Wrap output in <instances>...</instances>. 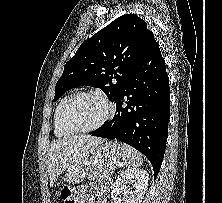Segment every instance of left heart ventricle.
Returning a JSON list of instances; mask_svg holds the SVG:
<instances>
[{
  "label": "left heart ventricle",
  "mask_w": 222,
  "mask_h": 203,
  "mask_svg": "<svg viewBox=\"0 0 222 203\" xmlns=\"http://www.w3.org/2000/svg\"><path fill=\"white\" fill-rule=\"evenodd\" d=\"M107 112L98 98L84 96L76 99L68 110V121L76 127H89L99 122Z\"/></svg>",
  "instance_id": "b2bd125f"
}]
</instances>
